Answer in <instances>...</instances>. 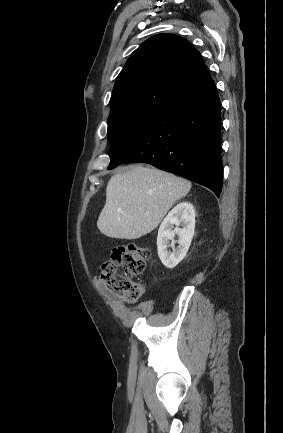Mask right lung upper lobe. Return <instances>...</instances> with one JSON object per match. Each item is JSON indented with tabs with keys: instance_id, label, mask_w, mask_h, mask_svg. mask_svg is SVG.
<instances>
[{
	"instance_id": "cb5924a9",
	"label": "right lung upper lobe",
	"mask_w": 283,
	"mask_h": 433,
	"mask_svg": "<svg viewBox=\"0 0 283 433\" xmlns=\"http://www.w3.org/2000/svg\"><path fill=\"white\" fill-rule=\"evenodd\" d=\"M213 84L200 53L185 39L158 34L135 50L116 79L111 110L129 106L165 109Z\"/></svg>"
}]
</instances>
